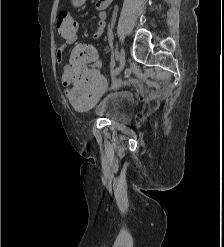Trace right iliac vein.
Here are the masks:
<instances>
[{
	"instance_id": "1",
	"label": "right iliac vein",
	"mask_w": 224,
	"mask_h": 247,
	"mask_svg": "<svg viewBox=\"0 0 224 247\" xmlns=\"http://www.w3.org/2000/svg\"><path fill=\"white\" fill-rule=\"evenodd\" d=\"M125 62H126V59H125V52L124 50H122L121 52V55H120V61H119V72H121L125 66Z\"/></svg>"
}]
</instances>
